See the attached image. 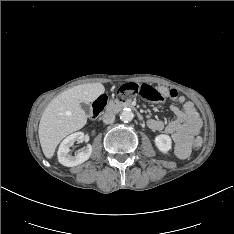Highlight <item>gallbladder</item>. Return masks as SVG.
Returning a JSON list of instances; mask_svg holds the SVG:
<instances>
[{
  "instance_id": "gallbladder-1",
  "label": "gallbladder",
  "mask_w": 234,
  "mask_h": 234,
  "mask_svg": "<svg viewBox=\"0 0 234 234\" xmlns=\"http://www.w3.org/2000/svg\"><path fill=\"white\" fill-rule=\"evenodd\" d=\"M81 107L82 109L85 111V113L89 114L91 112V107L90 105L86 104V103H81Z\"/></svg>"
}]
</instances>
